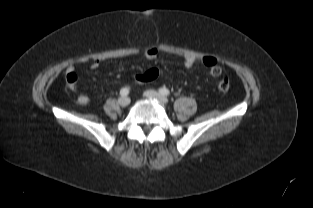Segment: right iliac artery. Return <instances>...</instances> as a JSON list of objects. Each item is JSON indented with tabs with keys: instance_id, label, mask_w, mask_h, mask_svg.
Listing matches in <instances>:
<instances>
[{
	"instance_id": "82829eb1",
	"label": "right iliac artery",
	"mask_w": 313,
	"mask_h": 208,
	"mask_svg": "<svg viewBox=\"0 0 313 208\" xmlns=\"http://www.w3.org/2000/svg\"><path fill=\"white\" fill-rule=\"evenodd\" d=\"M129 94V89L128 88H122L121 90H120V95L122 96V97H124V96H127Z\"/></svg>"
}]
</instances>
